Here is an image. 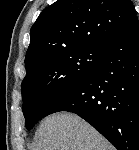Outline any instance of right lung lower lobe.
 Wrapping results in <instances>:
<instances>
[{
	"label": "right lung lower lobe",
	"instance_id": "98d812e1",
	"mask_svg": "<svg viewBox=\"0 0 139 150\" xmlns=\"http://www.w3.org/2000/svg\"><path fill=\"white\" fill-rule=\"evenodd\" d=\"M78 114L118 150H139V20L105 47L90 73L45 113Z\"/></svg>",
	"mask_w": 139,
	"mask_h": 150
}]
</instances>
